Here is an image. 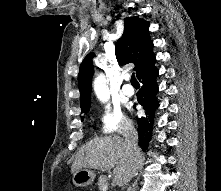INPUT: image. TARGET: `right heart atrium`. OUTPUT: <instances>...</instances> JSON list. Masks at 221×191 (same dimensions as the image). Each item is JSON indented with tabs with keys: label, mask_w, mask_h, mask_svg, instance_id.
I'll list each match as a JSON object with an SVG mask.
<instances>
[{
	"label": "right heart atrium",
	"mask_w": 221,
	"mask_h": 191,
	"mask_svg": "<svg viewBox=\"0 0 221 191\" xmlns=\"http://www.w3.org/2000/svg\"><path fill=\"white\" fill-rule=\"evenodd\" d=\"M98 130L101 134L120 136L130 132L132 125L117 106H106L98 116Z\"/></svg>",
	"instance_id": "1"
}]
</instances>
